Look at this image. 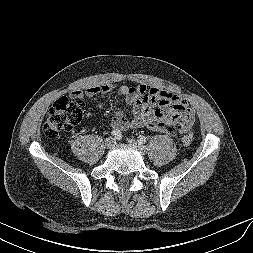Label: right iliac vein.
<instances>
[{
    "label": "right iliac vein",
    "mask_w": 253,
    "mask_h": 253,
    "mask_svg": "<svg viewBox=\"0 0 253 253\" xmlns=\"http://www.w3.org/2000/svg\"><path fill=\"white\" fill-rule=\"evenodd\" d=\"M116 144V140L112 137H109L105 140V146L107 148H113Z\"/></svg>",
    "instance_id": "1"
}]
</instances>
